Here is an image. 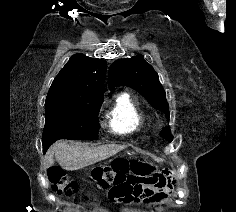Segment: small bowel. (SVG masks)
Listing matches in <instances>:
<instances>
[{"instance_id":"obj_1","label":"small bowel","mask_w":236,"mask_h":212,"mask_svg":"<svg viewBox=\"0 0 236 212\" xmlns=\"http://www.w3.org/2000/svg\"><path fill=\"white\" fill-rule=\"evenodd\" d=\"M146 175H118L111 190L107 191V202H114L115 212H125L120 203L156 205L171 192V180L167 171Z\"/></svg>"}]
</instances>
